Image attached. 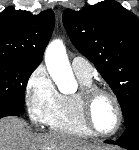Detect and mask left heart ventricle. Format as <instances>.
<instances>
[{
	"label": "left heart ventricle",
	"instance_id": "left-heart-ventricle-1",
	"mask_svg": "<svg viewBox=\"0 0 139 150\" xmlns=\"http://www.w3.org/2000/svg\"><path fill=\"white\" fill-rule=\"evenodd\" d=\"M91 114L93 123L100 132H110L115 128L117 112L108 96L100 95L94 100Z\"/></svg>",
	"mask_w": 139,
	"mask_h": 150
}]
</instances>
